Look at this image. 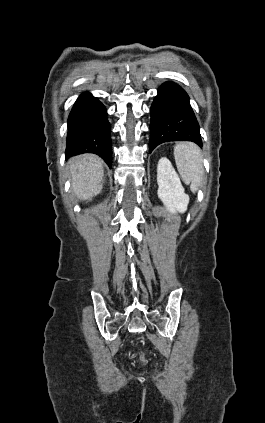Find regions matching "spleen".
Masks as SVG:
<instances>
[{
  "label": "spleen",
  "mask_w": 265,
  "mask_h": 423,
  "mask_svg": "<svg viewBox=\"0 0 265 423\" xmlns=\"http://www.w3.org/2000/svg\"><path fill=\"white\" fill-rule=\"evenodd\" d=\"M174 157L180 176L186 184L191 183L195 192L203 180V165L200 148L191 142H180L174 147Z\"/></svg>",
  "instance_id": "spleen-1"
}]
</instances>
